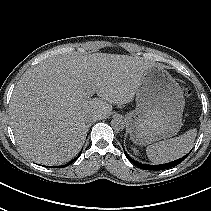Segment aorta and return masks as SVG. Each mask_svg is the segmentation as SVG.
Segmentation results:
<instances>
[{"label": "aorta", "instance_id": "762f6f07", "mask_svg": "<svg viewBox=\"0 0 211 211\" xmlns=\"http://www.w3.org/2000/svg\"><path fill=\"white\" fill-rule=\"evenodd\" d=\"M111 126L116 131H122L125 128V122L120 117H115L111 120Z\"/></svg>", "mask_w": 211, "mask_h": 211}]
</instances>
